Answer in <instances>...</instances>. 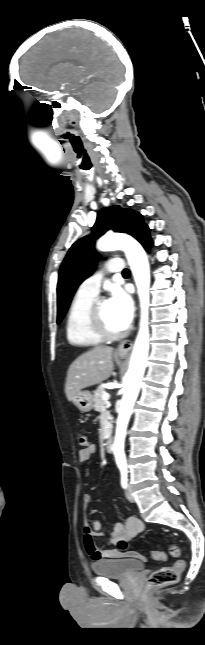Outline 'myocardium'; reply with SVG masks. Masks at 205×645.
<instances>
[{"instance_id":"1","label":"myocardium","mask_w":205,"mask_h":645,"mask_svg":"<svg viewBox=\"0 0 205 645\" xmlns=\"http://www.w3.org/2000/svg\"><path fill=\"white\" fill-rule=\"evenodd\" d=\"M100 300L94 301L89 312V323L93 332L103 340H115L124 336L125 331L114 332L110 330L101 313Z\"/></svg>"}]
</instances>
